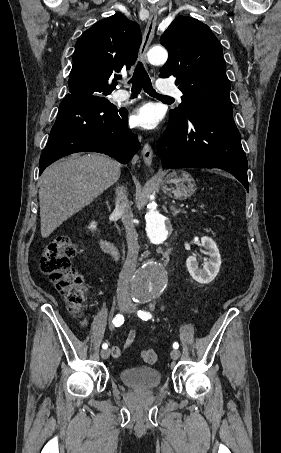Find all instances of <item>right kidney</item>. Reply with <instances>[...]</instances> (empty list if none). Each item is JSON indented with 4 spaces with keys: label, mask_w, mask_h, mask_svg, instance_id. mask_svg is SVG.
Listing matches in <instances>:
<instances>
[{
    "label": "right kidney",
    "mask_w": 281,
    "mask_h": 453,
    "mask_svg": "<svg viewBox=\"0 0 281 453\" xmlns=\"http://www.w3.org/2000/svg\"><path fill=\"white\" fill-rule=\"evenodd\" d=\"M88 229H96V222H91L90 227Z\"/></svg>",
    "instance_id": "ca27d5eb"
}]
</instances>
